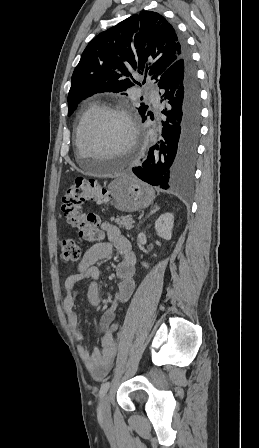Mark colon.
Here are the masks:
<instances>
[{
    "label": "colon",
    "mask_w": 259,
    "mask_h": 448,
    "mask_svg": "<svg viewBox=\"0 0 259 448\" xmlns=\"http://www.w3.org/2000/svg\"><path fill=\"white\" fill-rule=\"evenodd\" d=\"M111 200L108 190L103 188L93 178L79 176L70 184L62 197L61 209L67 222L77 229L79 236L87 241L99 236V217L94 213L82 211L85 201H94L106 204ZM60 258L63 262L75 263L81 259V247L71 238H62L59 241ZM117 326L118 324L115 323Z\"/></svg>",
    "instance_id": "5ec220e1"
}]
</instances>
